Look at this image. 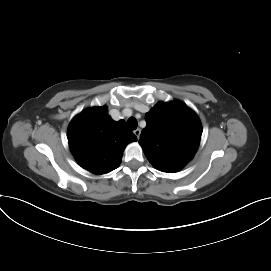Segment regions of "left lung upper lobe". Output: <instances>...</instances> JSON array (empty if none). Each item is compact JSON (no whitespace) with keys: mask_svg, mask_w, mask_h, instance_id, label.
Here are the masks:
<instances>
[{"mask_svg":"<svg viewBox=\"0 0 271 271\" xmlns=\"http://www.w3.org/2000/svg\"><path fill=\"white\" fill-rule=\"evenodd\" d=\"M139 143L158 170L177 172L194 156L202 126L198 116L180 101L159 102L145 115Z\"/></svg>","mask_w":271,"mask_h":271,"instance_id":"1","label":"left lung upper lobe"}]
</instances>
